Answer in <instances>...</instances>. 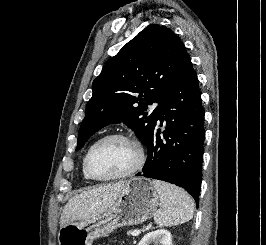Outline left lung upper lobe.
<instances>
[{"label": "left lung upper lobe", "mask_w": 266, "mask_h": 245, "mask_svg": "<svg viewBox=\"0 0 266 245\" xmlns=\"http://www.w3.org/2000/svg\"><path fill=\"white\" fill-rule=\"evenodd\" d=\"M189 58L171 29L151 24L142 30L107 61L93 81L76 150L101 128L120 122L147 146L160 105ZM154 102L159 105L147 112Z\"/></svg>", "instance_id": "5c2ea615"}]
</instances>
